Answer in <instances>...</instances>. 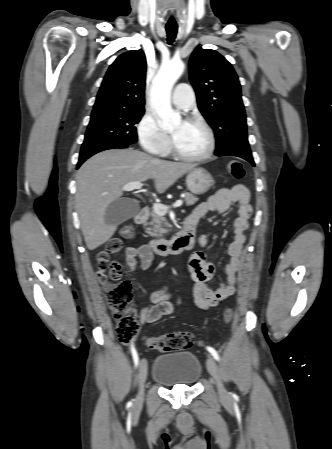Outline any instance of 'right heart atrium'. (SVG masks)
I'll list each match as a JSON object with an SVG mask.
<instances>
[{
  "label": "right heart atrium",
  "mask_w": 332,
  "mask_h": 449,
  "mask_svg": "<svg viewBox=\"0 0 332 449\" xmlns=\"http://www.w3.org/2000/svg\"><path fill=\"white\" fill-rule=\"evenodd\" d=\"M137 131L141 145L148 152L165 155L170 150V139L161 130L153 115L144 114L138 123Z\"/></svg>",
  "instance_id": "d8ad5b80"
}]
</instances>
